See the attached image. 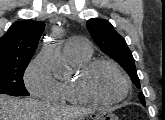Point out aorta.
Wrapping results in <instances>:
<instances>
[{
    "label": "aorta",
    "mask_w": 165,
    "mask_h": 120,
    "mask_svg": "<svg viewBox=\"0 0 165 120\" xmlns=\"http://www.w3.org/2000/svg\"><path fill=\"white\" fill-rule=\"evenodd\" d=\"M41 54L54 71L60 72L64 68V61L60 55V45L56 39L48 42L43 47Z\"/></svg>",
    "instance_id": "obj_1"
}]
</instances>
